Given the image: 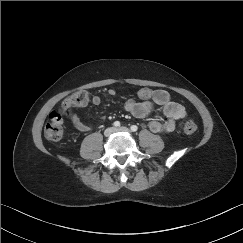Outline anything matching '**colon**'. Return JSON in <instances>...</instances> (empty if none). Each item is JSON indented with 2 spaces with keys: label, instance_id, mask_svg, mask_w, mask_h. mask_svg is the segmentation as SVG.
<instances>
[{
  "label": "colon",
  "instance_id": "5ec220e1",
  "mask_svg": "<svg viewBox=\"0 0 243 243\" xmlns=\"http://www.w3.org/2000/svg\"><path fill=\"white\" fill-rule=\"evenodd\" d=\"M148 95V92L144 93ZM90 93L86 89H80L72 95L65 98L60 109L54 110L50 114V119L44 127V135L51 141H59L64 136L63 115L67 114L71 109L82 107L88 104ZM197 130V125L193 121H188L184 125V132L188 135L194 134Z\"/></svg>",
  "mask_w": 243,
  "mask_h": 243
}]
</instances>
